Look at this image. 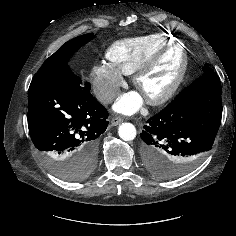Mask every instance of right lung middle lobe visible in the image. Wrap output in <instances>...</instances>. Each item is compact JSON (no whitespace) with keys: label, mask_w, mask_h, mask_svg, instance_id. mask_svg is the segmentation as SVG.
I'll return each instance as SVG.
<instances>
[{"label":"right lung middle lobe","mask_w":236,"mask_h":236,"mask_svg":"<svg viewBox=\"0 0 236 236\" xmlns=\"http://www.w3.org/2000/svg\"><path fill=\"white\" fill-rule=\"evenodd\" d=\"M92 38L93 33H89L67 41L44 62L36 74L53 73L63 69H69L67 62L71 55ZM45 160L55 175L68 181H77L86 178L96 164V160L93 158L83 159L78 162L55 158H46Z\"/></svg>","instance_id":"obj_1"}]
</instances>
